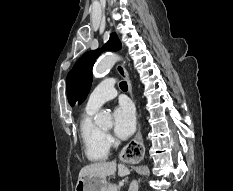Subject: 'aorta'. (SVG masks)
<instances>
[{
	"label": "aorta",
	"instance_id": "762f6f07",
	"mask_svg": "<svg viewBox=\"0 0 233 191\" xmlns=\"http://www.w3.org/2000/svg\"><path fill=\"white\" fill-rule=\"evenodd\" d=\"M119 60H121V57L115 53H109V54L103 56L96 63V65L94 67V74L96 76H99V75L106 73ZM95 121L99 126H106V127L112 126L111 115L105 110L100 111L95 116Z\"/></svg>",
	"mask_w": 233,
	"mask_h": 191
}]
</instances>
